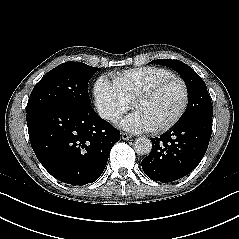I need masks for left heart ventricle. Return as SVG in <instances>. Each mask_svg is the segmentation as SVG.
Wrapping results in <instances>:
<instances>
[{
    "instance_id": "b2bd125f",
    "label": "left heart ventricle",
    "mask_w": 239,
    "mask_h": 239,
    "mask_svg": "<svg viewBox=\"0 0 239 239\" xmlns=\"http://www.w3.org/2000/svg\"><path fill=\"white\" fill-rule=\"evenodd\" d=\"M183 101V87L176 79L162 83L148 99L139 102L134 111L140 113L153 127H160L172 120Z\"/></svg>"
}]
</instances>
